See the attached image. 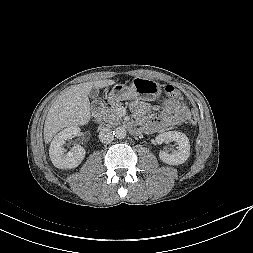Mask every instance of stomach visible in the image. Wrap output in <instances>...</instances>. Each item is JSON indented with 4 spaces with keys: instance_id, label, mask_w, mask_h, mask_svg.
<instances>
[{
    "instance_id": "obj_1",
    "label": "stomach",
    "mask_w": 253,
    "mask_h": 253,
    "mask_svg": "<svg viewBox=\"0 0 253 253\" xmlns=\"http://www.w3.org/2000/svg\"><path fill=\"white\" fill-rule=\"evenodd\" d=\"M161 85L148 78L136 77L130 86L116 84L109 93L108 101L111 104L122 100L138 99L153 101L160 97Z\"/></svg>"
}]
</instances>
